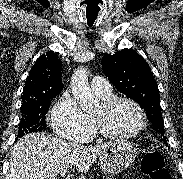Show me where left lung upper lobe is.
<instances>
[{
	"label": "left lung upper lobe",
	"mask_w": 183,
	"mask_h": 179,
	"mask_svg": "<svg viewBox=\"0 0 183 179\" xmlns=\"http://www.w3.org/2000/svg\"><path fill=\"white\" fill-rule=\"evenodd\" d=\"M105 76L122 93L136 101L145 111L153 129L164 136L160 95L154 75L141 55L123 49L102 58Z\"/></svg>",
	"instance_id": "obj_1"
}]
</instances>
